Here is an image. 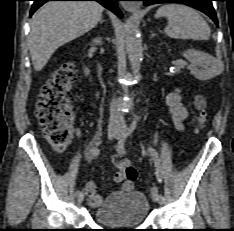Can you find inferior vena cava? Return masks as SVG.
<instances>
[{"mask_svg":"<svg viewBox=\"0 0 234 231\" xmlns=\"http://www.w3.org/2000/svg\"><path fill=\"white\" fill-rule=\"evenodd\" d=\"M124 116L119 110V101L117 99H113L110 107V126H124Z\"/></svg>","mask_w":234,"mask_h":231,"instance_id":"inferior-vena-cava-1","label":"inferior vena cava"}]
</instances>
